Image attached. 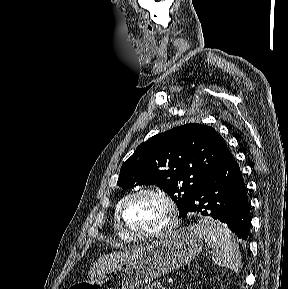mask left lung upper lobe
Listing matches in <instances>:
<instances>
[{
    "label": "left lung upper lobe",
    "instance_id": "obj_1",
    "mask_svg": "<svg viewBox=\"0 0 288 289\" xmlns=\"http://www.w3.org/2000/svg\"><path fill=\"white\" fill-rule=\"evenodd\" d=\"M228 154L215 129L186 124L140 144L123 163L117 184L125 189L159 186L176 203L180 216Z\"/></svg>",
    "mask_w": 288,
    "mask_h": 289
}]
</instances>
